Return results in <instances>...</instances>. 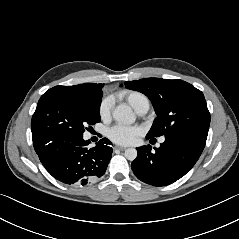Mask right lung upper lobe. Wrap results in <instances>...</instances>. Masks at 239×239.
<instances>
[{"label":"right lung upper lobe","mask_w":239,"mask_h":239,"mask_svg":"<svg viewBox=\"0 0 239 239\" xmlns=\"http://www.w3.org/2000/svg\"><path fill=\"white\" fill-rule=\"evenodd\" d=\"M103 86H104V84L84 83V84L75 85L72 87L81 89V90H89V91H93L95 93H99V92H102L101 89L103 88Z\"/></svg>","instance_id":"1"}]
</instances>
